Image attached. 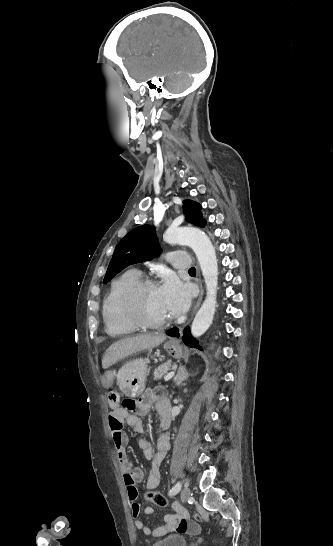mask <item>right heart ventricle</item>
<instances>
[{"instance_id": "1", "label": "right heart ventricle", "mask_w": 333, "mask_h": 546, "mask_svg": "<svg viewBox=\"0 0 333 546\" xmlns=\"http://www.w3.org/2000/svg\"><path fill=\"white\" fill-rule=\"evenodd\" d=\"M139 279L141 274L137 270H128L111 282L102 305L103 322L110 336H125L136 331L137 326L122 310L121 297L125 289Z\"/></svg>"}]
</instances>
